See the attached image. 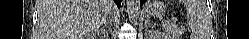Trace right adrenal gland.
<instances>
[{"instance_id":"1","label":"right adrenal gland","mask_w":249,"mask_h":39,"mask_svg":"<svg viewBox=\"0 0 249 39\" xmlns=\"http://www.w3.org/2000/svg\"><path fill=\"white\" fill-rule=\"evenodd\" d=\"M106 24H107V21H105V22L102 24L103 28H104V26H106ZM103 28H101V31H102V32H104Z\"/></svg>"}]
</instances>
